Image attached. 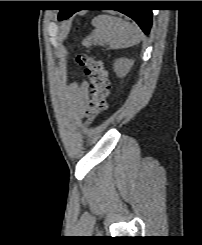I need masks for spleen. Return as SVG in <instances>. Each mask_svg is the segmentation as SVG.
I'll list each match as a JSON object with an SVG mask.
<instances>
[{
  "mask_svg": "<svg viewBox=\"0 0 202 245\" xmlns=\"http://www.w3.org/2000/svg\"><path fill=\"white\" fill-rule=\"evenodd\" d=\"M93 24L95 30L83 41L86 47L94 42L101 46L107 44L109 49H122L136 45L142 40L140 29L121 18L99 15L94 18Z\"/></svg>",
  "mask_w": 202,
  "mask_h": 245,
  "instance_id": "1",
  "label": "spleen"
}]
</instances>
